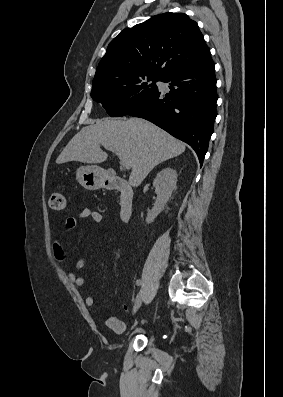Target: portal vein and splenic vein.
<instances>
[{"mask_svg": "<svg viewBox=\"0 0 283 397\" xmlns=\"http://www.w3.org/2000/svg\"><path fill=\"white\" fill-rule=\"evenodd\" d=\"M107 150H109V151H112V152H114L117 156H118V158H119V160H120V164L125 168V169H130L131 168V165H130V163L117 151V150H115L113 147H111V146H109V145H107V144H102Z\"/></svg>", "mask_w": 283, "mask_h": 397, "instance_id": "1", "label": "portal vein and splenic vein"}]
</instances>
